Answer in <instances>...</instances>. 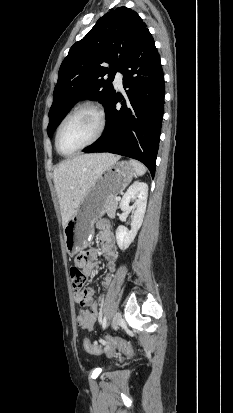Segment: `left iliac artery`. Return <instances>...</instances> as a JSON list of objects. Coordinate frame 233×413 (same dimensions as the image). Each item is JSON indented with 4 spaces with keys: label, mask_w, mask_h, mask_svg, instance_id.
I'll return each instance as SVG.
<instances>
[{
    "label": "left iliac artery",
    "mask_w": 233,
    "mask_h": 413,
    "mask_svg": "<svg viewBox=\"0 0 233 413\" xmlns=\"http://www.w3.org/2000/svg\"><path fill=\"white\" fill-rule=\"evenodd\" d=\"M101 322H102V326H103V328H106V326H107V320H106V317H103V319L101 318Z\"/></svg>",
    "instance_id": "44dca946"
}]
</instances>
